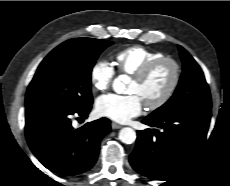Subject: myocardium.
<instances>
[{
  "label": "myocardium",
  "instance_id": "1",
  "mask_svg": "<svg viewBox=\"0 0 230 186\" xmlns=\"http://www.w3.org/2000/svg\"><path fill=\"white\" fill-rule=\"evenodd\" d=\"M168 64L172 68V79L171 82L163 93V95L154 102L144 103L146 108L149 110H156L164 106L174 95L181 79V67L179 63L171 57H160L155 59L145 66H143L137 73H135L132 78L137 83H142L147 80L150 75L161 65Z\"/></svg>",
  "mask_w": 230,
  "mask_h": 186
}]
</instances>
